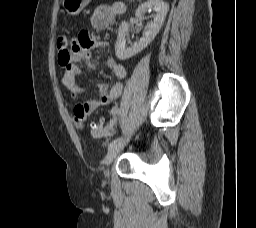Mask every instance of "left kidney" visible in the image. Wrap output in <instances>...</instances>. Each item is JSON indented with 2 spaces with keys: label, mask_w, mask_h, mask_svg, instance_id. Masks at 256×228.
<instances>
[{
  "label": "left kidney",
  "mask_w": 256,
  "mask_h": 228,
  "mask_svg": "<svg viewBox=\"0 0 256 228\" xmlns=\"http://www.w3.org/2000/svg\"><path fill=\"white\" fill-rule=\"evenodd\" d=\"M168 9V4L162 0H148L147 2L141 4L137 8L135 16L142 18L145 12H151L153 10L156 12V14L153 16V21L147 24L143 36L129 47H127L126 44L129 24L127 22H123L121 24L115 44L117 58L120 60L128 59L146 48L159 33Z\"/></svg>",
  "instance_id": "left-kidney-1"
}]
</instances>
